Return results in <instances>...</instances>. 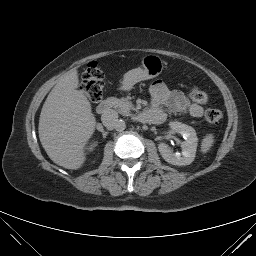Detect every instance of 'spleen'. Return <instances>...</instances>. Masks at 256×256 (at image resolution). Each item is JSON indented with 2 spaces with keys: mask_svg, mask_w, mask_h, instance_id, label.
I'll use <instances>...</instances> for the list:
<instances>
[{
  "mask_svg": "<svg viewBox=\"0 0 256 256\" xmlns=\"http://www.w3.org/2000/svg\"><path fill=\"white\" fill-rule=\"evenodd\" d=\"M215 142L214 135L212 133L207 134L201 142V152L207 153Z\"/></svg>",
  "mask_w": 256,
  "mask_h": 256,
  "instance_id": "1",
  "label": "spleen"
}]
</instances>
